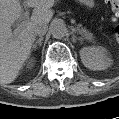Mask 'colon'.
Here are the masks:
<instances>
[{"mask_svg": "<svg viewBox=\"0 0 119 119\" xmlns=\"http://www.w3.org/2000/svg\"><path fill=\"white\" fill-rule=\"evenodd\" d=\"M110 6H111V10L113 12L112 20L116 21L117 18L119 17V1H117V0L110 1ZM115 36L119 40V26H117L115 28Z\"/></svg>", "mask_w": 119, "mask_h": 119, "instance_id": "colon-1", "label": "colon"}]
</instances>
